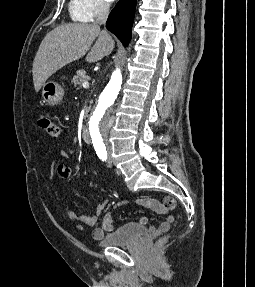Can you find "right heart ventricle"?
Returning a JSON list of instances; mask_svg holds the SVG:
<instances>
[{
    "instance_id": "obj_1",
    "label": "right heart ventricle",
    "mask_w": 255,
    "mask_h": 287,
    "mask_svg": "<svg viewBox=\"0 0 255 287\" xmlns=\"http://www.w3.org/2000/svg\"><path fill=\"white\" fill-rule=\"evenodd\" d=\"M86 33H96V32H86Z\"/></svg>"
}]
</instances>
